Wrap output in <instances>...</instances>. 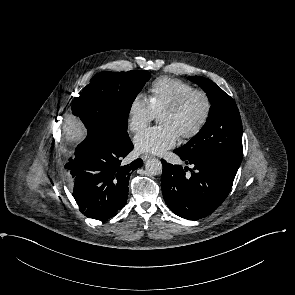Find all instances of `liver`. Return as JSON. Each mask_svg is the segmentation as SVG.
I'll return each instance as SVG.
<instances>
[{
    "label": "liver",
    "mask_w": 295,
    "mask_h": 295,
    "mask_svg": "<svg viewBox=\"0 0 295 295\" xmlns=\"http://www.w3.org/2000/svg\"><path fill=\"white\" fill-rule=\"evenodd\" d=\"M63 130L67 139L71 141H79L85 136L83 126L75 118L68 117L63 125Z\"/></svg>",
    "instance_id": "6515ba94"
}]
</instances>
